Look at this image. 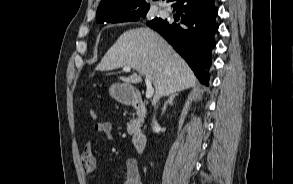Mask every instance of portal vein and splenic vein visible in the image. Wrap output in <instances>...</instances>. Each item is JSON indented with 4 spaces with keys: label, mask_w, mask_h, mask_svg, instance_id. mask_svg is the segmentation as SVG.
<instances>
[{
    "label": "portal vein and splenic vein",
    "mask_w": 293,
    "mask_h": 184,
    "mask_svg": "<svg viewBox=\"0 0 293 184\" xmlns=\"http://www.w3.org/2000/svg\"><path fill=\"white\" fill-rule=\"evenodd\" d=\"M124 70L125 71H130L131 68L128 67V66H125ZM145 83H146V87H147V89H146V98L150 99L154 94V88L152 87L150 78L146 77L145 78Z\"/></svg>",
    "instance_id": "1"
}]
</instances>
